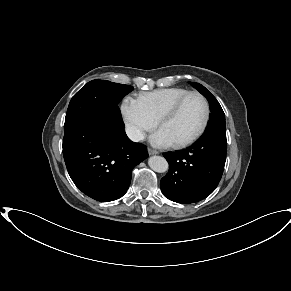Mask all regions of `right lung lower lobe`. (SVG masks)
<instances>
[{"instance_id":"1","label":"right lung lower lobe","mask_w":291,"mask_h":291,"mask_svg":"<svg viewBox=\"0 0 291 291\" xmlns=\"http://www.w3.org/2000/svg\"><path fill=\"white\" fill-rule=\"evenodd\" d=\"M63 155L75 185L101 202L122 197L132 169L148 157L146 146L125 134L118 107L89 122L65 121Z\"/></svg>"}]
</instances>
